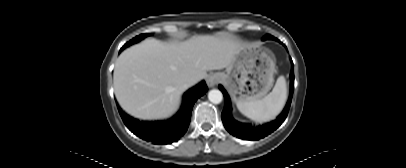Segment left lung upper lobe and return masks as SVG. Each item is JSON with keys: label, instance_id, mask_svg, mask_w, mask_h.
Listing matches in <instances>:
<instances>
[{"label": "left lung upper lobe", "instance_id": "obj_1", "mask_svg": "<svg viewBox=\"0 0 406 168\" xmlns=\"http://www.w3.org/2000/svg\"><path fill=\"white\" fill-rule=\"evenodd\" d=\"M263 39H264V40H267V39L277 40L275 37H273V36H271V35H266V36H264Z\"/></svg>", "mask_w": 406, "mask_h": 168}]
</instances>
